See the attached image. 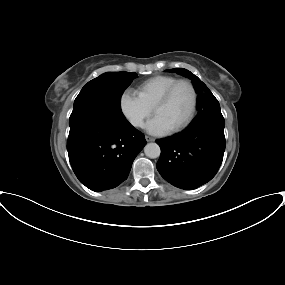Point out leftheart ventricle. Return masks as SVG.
<instances>
[{
	"instance_id": "left-heart-ventricle-1",
	"label": "left heart ventricle",
	"mask_w": 285,
	"mask_h": 285,
	"mask_svg": "<svg viewBox=\"0 0 285 285\" xmlns=\"http://www.w3.org/2000/svg\"><path fill=\"white\" fill-rule=\"evenodd\" d=\"M192 102L190 88L187 85H180L169 102L155 111V115L161 117L170 129H173L187 118Z\"/></svg>"
}]
</instances>
